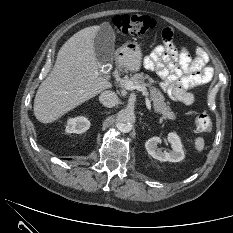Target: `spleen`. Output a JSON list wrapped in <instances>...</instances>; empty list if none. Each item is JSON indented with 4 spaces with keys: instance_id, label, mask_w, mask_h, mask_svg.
Instances as JSON below:
<instances>
[{
    "instance_id": "3e777b00",
    "label": "spleen",
    "mask_w": 233,
    "mask_h": 233,
    "mask_svg": "<svg viewBox=\"0 0 233 233\" xmlns=\"http://www.w3.org/2000/svg\"><path fill=\"white\" fill-rule=\"evenodd\" d=\"M204 139L202 137H198L195 139V149L198 151V152H202L203 149H204Z\"/></svg>"
}]
</instances>
